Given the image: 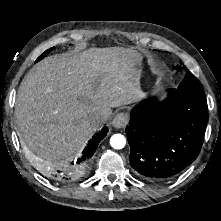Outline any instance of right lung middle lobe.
Masks as SVG:
<instances>
[{"instance_id":"right-lung-middle-lobe-1","label":"right lung middle lobe","mask_w":221,"mask_h":221,"mask_svg":"<svg viewBox=\"0 0 221 221\" xmlns=\"http://www.w3.org/2000/svg\"><path fill=\"white\" fill-rule=\"evenodd\" d=\"M54 49V47L53 48H50V49H48V50H46L37 60H36V62H38V61H40L41 59H43L50 51H52Z\"/></svg>"}]
</instances>
